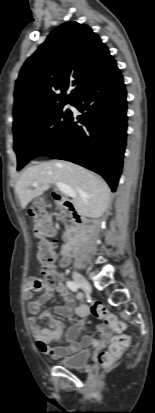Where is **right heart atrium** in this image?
I'll use <instances>...</instances> for the list:
<instances>
[{"label": "right heart atrium", "mask_w": 155, "mask_h": 413, "mask_svg": "<svg viewBox=\"0 0 155 413\" xmlns=\"http://www.w3.org/2000/svg\"><path fill=\"white\" fill-rule=\"evenodd\" d=\"M35 130L37 133H41L43 131V127L41 125H36Z\"/></svg>", "instance_id": "right-heart-atrium-1"}]
</instances>
